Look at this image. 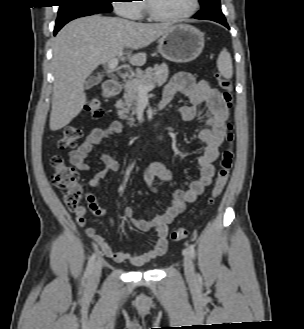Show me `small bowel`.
Wrapping results in <instances>:
<instances>
[{
    "mask_svg": "<svg viewBox=\"0 0 304 329\" xmlns=\"http://www.w3.org/2000/svg\"><path fill=\"white\" fill-rule=\"evenodd\" d=\"M184 95L189 104L178 108L182 120L192 121L198 114L199 106L205 104V125L198 132V137L205 143V149L198 157L200 176L198 179L186 183V189H177L167 210L152 219H138L131 207H125L123 214L128 222L140 231L154 229L157 240L153 249L146 253L125 252L113 250L108 240L97 234L93 228H86V234L98 245L103 255L115 262L129 261L134 265H141L144 262L165 253L168 245V226L184 209L186 203L194 202L204 189L209 186L215 174L214 162L220 155V150L226 136V122L229 118V110L223 100L222 94L212 87L208 81L196 82L189 73L179 72L171 79L166 86L161 101L165 107L175 100L177 95ZM124 127L120 121H113L107 127L94 129L86 140L75 150L70 152V162L80 171H89L90 165L87 159L94 147L116 134L123 131ZM104 168L97 172L88 182L93 189L101 186L102 180L109 174L119 170V162L108 154L102 155ZM173 175L169 169L159 162L150 163L144 172V181L147 187L156 192L155 182L157 180L169 182ZM88 209L98 217H105L106 212L98 204V197L92 193L86 194ZM76 222L79 226L87 223L85 209L81 207L75 212Z\"/></svg>",
    "mask_w": 304,
    "mask_h": 329,
    "instance_id": "small-bowel-1",
    "label": "small bowel"
}]
</instances>
